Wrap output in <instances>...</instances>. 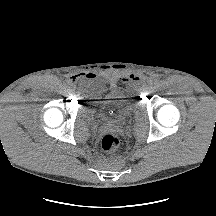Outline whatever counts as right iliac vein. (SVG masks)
Listing matches in <instances>:
<instances>
[{
	"mask_svg": "<svg viewBox=\"0 0 216 216\" xmlns=\"http://www.w3.org/2000/svg\"><path fill=\"white\" fill-rule=\"evenodd\" d=\"M71 93H72V94H75V93H76V90H75V89H72V90H71Z\"/></svg>",
	"mask_w": 216,
	"mask_h": 216,
	"instance_id": "right-iliac-vein-1",
	"label": "right iliac vein"
}]
</instances>
